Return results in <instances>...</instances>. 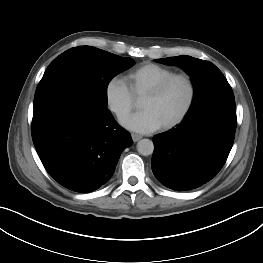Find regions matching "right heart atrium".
Instances as JSON below:
<instances>
[{
  "label": "right heart atrium",
  "mask_w": 263,
  "mask_h": 263,
  "mask_svg": "<svg viewBox=\"0 0 263 263\" xmlns=\"http://www.w3.org/2000/svg\"><path fill=\"white\" fill-rule=\"evenodd\" d=\"M104 100L108 110L118 119H124L134 106V96L119 77L110 78L104 87Z\"/></svg>",
  "instance_id": "d8ad5b80"
}]
</instances>
